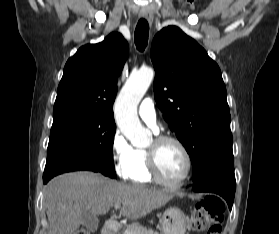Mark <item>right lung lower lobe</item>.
<instances>
[{"mask_svg":"<svg viewBox=\"0 0 279 234\" xmlns=\"http://www.w3.org/2000/svg\"><path fill=\"white\" fill-rule=\"evenodd\" d=\"M89 170L98 172V170L89 162L82 159H66L53 165L49 170L44 171L43 183L46 184L52 177L70 171Z\"/></svg>","mask_w":279,"mask_h":234,"instance_id":"98d812e1","label":"right lung lower lobe"}]
</instances>
